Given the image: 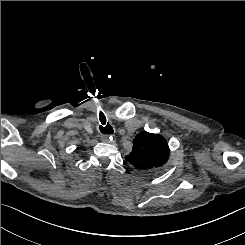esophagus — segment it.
<instances>
[{
    "mask_svg": "<svg viewBox=\"0 0 245 245\" xmlns=\"http://www.w3.org/2000/svg\"><path fill=\"white\" fill-rule=\"evenodd\" d=\"M110 139H111V137L108 136V135H103V136H101V140H102L103 142H109Z\"/></svg>",
    "mask_w": 245,
    "mask_h": 245,
    "instance_id": "34e87169",
    "label": "esophagus"
}]
</instances>
